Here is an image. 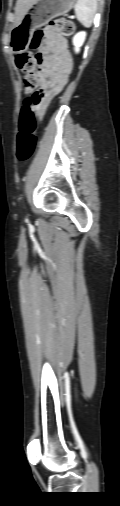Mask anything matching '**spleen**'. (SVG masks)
Instances as JSON below:
<instances>
[{
	"label": "spleen",
	"mask_w": 120,
	"mask_h": 506,
	"mask_svg": "<svg viewBox=\"0 0 120 506\" xmlns=\"http://www.w3.org/2000/svg\"><path fill=\"white\" fill-rule=\"evenodd\" d=\"M74 9L78 21L83 26L90 27L97 10V0H77Z\"/></svg>",
	"instance_id": "3e777b00"
}]
</instances>
